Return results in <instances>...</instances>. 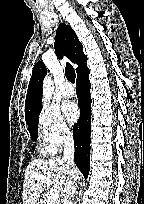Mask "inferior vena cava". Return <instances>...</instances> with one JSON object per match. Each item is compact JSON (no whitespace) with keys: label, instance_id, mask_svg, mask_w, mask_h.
<instances>
[{"label":"inferior vena cava","instance_id":"1","mask_svg":"<svg viewBox=\"0 0 144 204\" xmlns=\"http://www.w3.org/2000/svg\"><path fill=\"white\" fill-rule=\"evenodd\" d=\"M74 140H73V135L68 132L64 136V155H63V160L66 162L68 166V173L72 177V185L64 198V204H72L69 201L71 198H73L76 194L77 190V183L80 180V173L78 168L75 165L74 162Z\"/></svg>","mask_w":144,"mask_h":204}]
</instances>
